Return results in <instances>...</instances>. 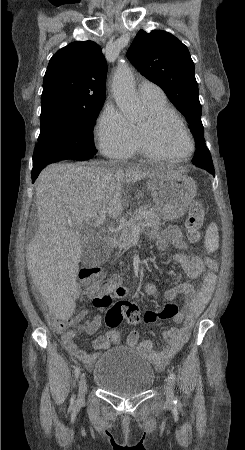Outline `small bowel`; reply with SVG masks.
<instances>
[{"instance_id":"small-bowel-1","label":"small bowel","mask_w":245,"mask_h":450,"mask_svg":"<svg viewBox=\"0 0 245 450\" xmlns=\"http://www.w3.org/2000/svg\"><path fill=\"white\" fill-rule=\"evenodd\" d=\"M151 237L156 242L159 250H166L170 246H173L176 249L174 260L184 268L186 274L191 278H201L197 286L190 283H181L165 293V297L168 300L182 298L184 305L179 314L174 318L175 322L180 323L182 326L180 328H171L165 332V346L163 349H154L150 340H141L139 333L135 331L130 332L126 337V346L138 349L150 360L157 370L161 371L188 340L195 320L202 314L213 293L217 277L214 272L205 269L206 262L204 258L198 254L189 255L186 253V243L177 227H169L163 231H155ZM107 283L113 287L108 292V296L112 301L121 300L129 294V289L122 286L118 278H113ZM154 289L155 287L152 284L145 286L147 292H152ZM100 291V289L87 290L83 288V292L92 300H96L97 298L104 299L106 297L103 295L100 296ZM88 315L89 311L84 310L74 317L73 322L81 323V330L90 335L101 327L102 316L95 314L90 320L85 321ZM61 342L71 355L82 360L86 366L90 367L98 354L108 350L113 341L108 338V333L95 338L92 341V346L97 351L96 354L86 353L70 337H63Z\"/></svg>"}]
</instances>
